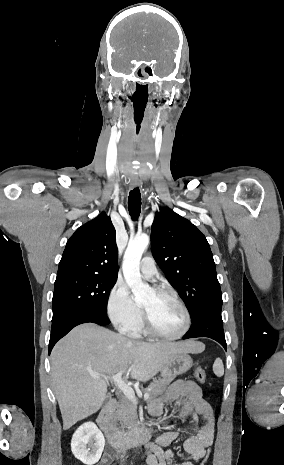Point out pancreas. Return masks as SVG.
Listing matches in <instances>:
<instances>
[{
	"label": "pancreas",
	"mask_w": 284,
	"mask_h": 465,
	"mask_svg": "<svg viewBox=\"0 0 284 465\" xmlns=\"http://www.w3.org/2000/svg\"><path fill=\"white\" fill-rule=\"evenodd\" d=\"M176 375H164L163 379H158V381H153L150 383L148 389H144V393H149V401L151 399H156L159 395H162L164 391H166L168 385L172 383L173 379H175ZM124 415L122 417V425L123 427H127V429H132V427H138V415H137V407L131 401H127V399H123V409Z\"/></svg>",
	"instance_id": "cf45deb5"
}]
</instances>
